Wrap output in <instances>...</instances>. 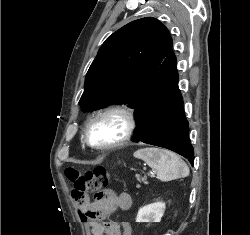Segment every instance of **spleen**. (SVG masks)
<instances>
[{
  "label": "spleen",
  "mask_w": 250,
  "mask_h": 235,
  "mask_svg": "<svg viewBox=\"0 0 250 235\" xmlns=\"http://www.w3.org/2000/svg\"><path fill=\"white\" fill-rule=\"evenodd\" d=\"M134 157L144 160L157 174L161 181L187 177V164L175 153L159 148H144L136 151Z\"/></svg>",
  "instance_id": "3e777b00"
}]
</instances>
